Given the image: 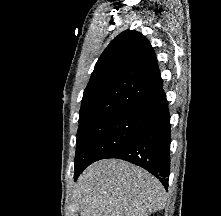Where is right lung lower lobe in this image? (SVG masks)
Returning a JSON list of instances; mask_svg holds the SVG:
<instances>
[{"instance_id":"obj_1","label":"right lung lower lobe","mask_w":221,"mask_h":216,"mask_svg":"<svg viewBox=\"0 0 221 216\" xmlns=\"http://www.w3.org/2000/svg\"><path fill=\"white\" fill-rule=\"evenodd\" d=\"M170 116L166 97L147 115L142 129L128 142L106 158H118L138 165L155 177L168 189L170 173ZM88 165L75 166L76 180Z\"/></svg>"}]
</instances>
